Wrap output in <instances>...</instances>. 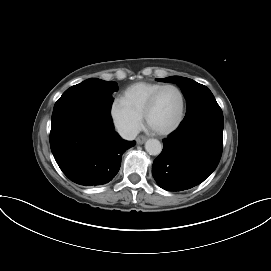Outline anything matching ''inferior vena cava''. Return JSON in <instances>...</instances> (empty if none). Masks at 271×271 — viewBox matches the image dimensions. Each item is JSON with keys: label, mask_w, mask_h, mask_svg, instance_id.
I'll list each match as a JSON object with an SVG mask.
<instances>
[{"label": "inferior vena cava", "mask_w": 271, "mask_h": 271, "mask_svg": "<svg viewBox=\"0 0 271 271\" xmlns=\"http://www.w3.org/2000/svg\"><path fill=\"white\" fill-rule=\"evenodd\" d=\"M138 134L136 129H125L120 131V136L125 140H134Z\"/></svg>", "instance_id": "1"}]
</instances>
